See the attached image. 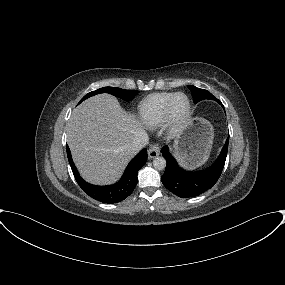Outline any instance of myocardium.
<instances>
[{
  "label": "myocardium",
  "mask_w": 285,
  "mask_h": 285,
  "mask_svg": "<svg viewBox=\"0 0 285 285\" xmlns=\"http://www.w3.org/2000/svg\"><path fill=\"white\" fill-rule=\"evenodd\" d=\"M179 96H184L187 99V108L182 115H177L175 112V101ZM192 114V102L189 96L183 92H177L174 96L170 99L167 111H166V118L164 121V125L166 129L170 132H177L181 130L188 122Z\"/></svg>",
  "instance_id": "f54148a6"
}]
</instances>
